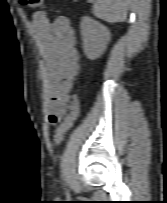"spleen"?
Listing matches in <instances>:
<instances>
[{"label": "spleen", "instance_id": "obj_1", "mask_svg": "<svg viewBox=\"0 0 167 203\" xmlns=\"http://www.w3.org/2000/svg\"><path fill=\"white\" fill-rule=\"evenodd\" d=\"M128 0H96L93 14L110 23L123 22L127 17Z\"/></svg>", "mask_w": 167, "mask_h": 203}]
</instances>
